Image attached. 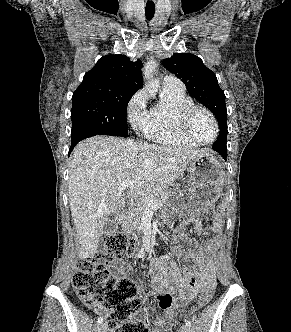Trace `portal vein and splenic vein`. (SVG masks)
<instances>
[{
  "mask_svg": "<svg viewBox=\"0 0 291 332\" xmlns=\"http://www.w3.org/2000/svg\"><path fill=\"white\" fill-rule=\"evenodd\" d=\"M131 185H133L132 181H127V182H123L121 184V186L119 187V191L118 194H121L123 190H125L126 188L130 187ZM141 200H143V202L150 206L152 209H157L158 205H156L153 201V199L147 195H144L141 197Z\"/></svg>",
  "mask_w": 291,
  "mask_h": 332,
  "instance_id": "18ae733b",
  "label": "portal vein and splenic vein"
}]
</instances>
